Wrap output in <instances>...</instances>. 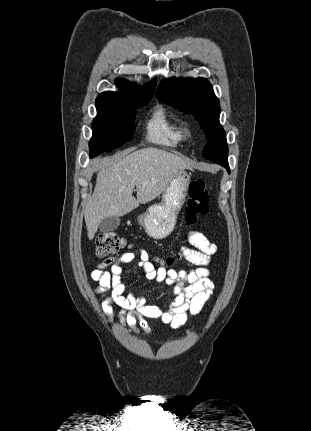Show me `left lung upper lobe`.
Instances as JSON below:
<instances>
[{
  "label": "left lung upper lobe",
  "instance_id": "obj_1",
  "mask_svg": "<svg viewBox=\"0 0 311 431\" xmlns=\"http://www.w3.org/2000/svg\"><path fill=\"white\" fill-rule=\"evenodd\" d=\"M156 95L178 110L194 115L208 139L202 152L203 157L216 163L227 157L226 135L219 122V100L207 79L174 77L164 80Z\"/></svg>",
  "mask_w": 311,
  "mask_h": 431
}]
</instances>
